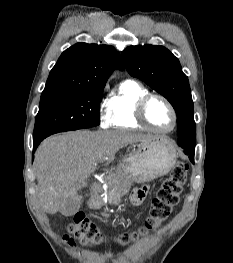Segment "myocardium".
<instances>
[{"mask_svg": "<svg viewBox=\"0 0 233 263\" xmlns=\"http://www.w3.org/2000/svg\"><path fill=\"white\" fill-rule=\"evenodd\" d=\"M153 99H159L162 102H164L172 114V125L167 130H161V129L155 128L149 122V120L147 118L146 110H147L149 103ZM136 119L142 126L146 127L147 129H149L153 132L159 133V134L171 133L177 125V113H176L174 106L165 96H163L161 94H156V93H149L139 100L137 107H136Z\"/></svg>", "mask_w": 233, "mask_h": 263, "instance_id": "obj_1", "label": "myocardium"}]
</instances>
